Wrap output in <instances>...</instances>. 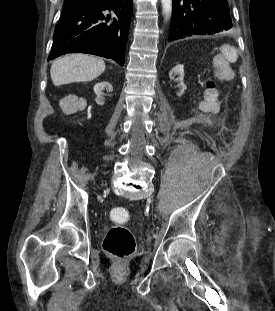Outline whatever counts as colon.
I'll use <instances>...</instances> for the list:
<instances>
[{
	"label": "colon",
	"mask_w": 275,
	"mask_h": 311,
	"mask_svg": "<svg viewBox=\"0 0 275 311\" xmlns=\"http://www.w3.org/2000/svg\"><path fill=\"white\" fill-rule=\"evenodd\" d=\"M110 217L115 224L108 229L104 237L103 249L118 261H124L136 248L134 235L125 226L130 220V214L124 208L115 207L110 210Z\"/></svg>",
	"instance_id": "colon-1"
}]
</instances>
